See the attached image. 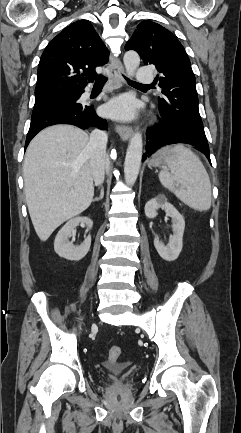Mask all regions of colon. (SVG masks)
Listing matches in <instances>:
<instances>
[{
    "mask_svg": "<svg viewBox=\"0 0 241 433\" xmlns=\"http://www.w3.org/2000/svg\"><path fill=\"white\" fill-rule=\"evenodd\" d=\"M120 355H121V349H120V347H117V346L111 347L110 350H109V353H108L107 363L109 365L114 364L115 361L119 358Z\"/></svg>",
    "mask_w": 241,
    "mask_h": 433,
    "instance_id": "5ec220e1",
    "label": "colon"
}]
</instances>
